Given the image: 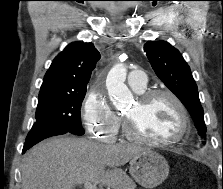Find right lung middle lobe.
I'll return each mask as SVG.
<instances>
[{
    "label": "right lung middle lobe",
    "instance_id": "dd1d6c3e",
    "mask_svg": "<svg viewBox=\"0 0 223 189\" xmlns=\"http://www.w3.org/2000/svg\"><path fill=\"white\" fill-rule=\"evenodd\" d=\"M86 88L68 91L40 93L36 110V121L32 128L56 127L75 135L85 133L81 124L80 109Z\"/></svg>",
    "mask_w": 223,
    "mask_h": 189
}]
</instances>
